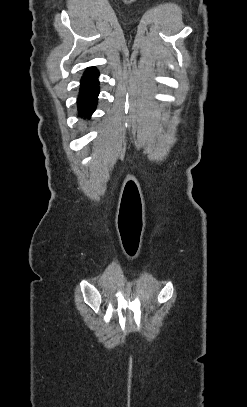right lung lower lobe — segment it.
Listing matches in <instances>:
<instances>
[{"instance_id":"98d812e1","label":"right lung lower lobe","mask_w":247,"mask_h":407,"mask_svg":"<svg viewBox=\"0 0 247 407\" xmlns=\"http://www.w3.org/2000/svg\"><path fill=\"white\" fill-rule=\"evenodd\" d=\"M99 72L95 67L88 68L80 81L79 98L77 101L78 115L90 118L95 111L99 95Z\"/></svg>"}]
</instances>
